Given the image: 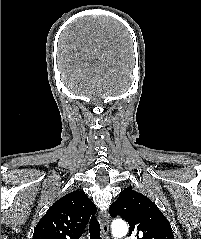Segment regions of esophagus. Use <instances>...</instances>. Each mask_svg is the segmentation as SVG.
Instances as JSON below:
<instances>
[{"label": "esophagus", "mask_w": 201, "mask_h": 239, "mask_svg": "<svg viewBox=\"0 0 201 239\" xmlns=\"http://www.w3.org/2000/svg\"><path fill=\"white\" fill-rule=\"evenodd\" d=\"M101 225L104 235H107L109 232V215L107 213L101 214Z\"/></svg>", "instance_id": "obj_1"}]
</instances>
